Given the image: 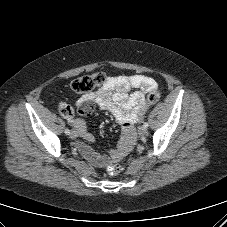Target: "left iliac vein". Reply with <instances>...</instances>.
I'll return each mask as SVG.
<instances>
[{"mask_svg": "<svg viewBox=\"0 0 227 227\" xmlns=\"http://www.w3.org/2000/svg\"><path fill=\"white\" fill-rule=\"evenodd\" d=\"M138 131H139L140 135H146L147 134V129L144 126H141Z\"/></svg>", "mask_w": 227, "mask_h": 227, "instance_id": "1", "label": "left iliac vein"}]
</instances>
